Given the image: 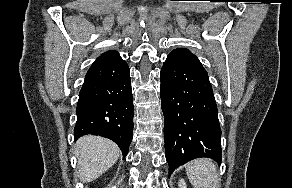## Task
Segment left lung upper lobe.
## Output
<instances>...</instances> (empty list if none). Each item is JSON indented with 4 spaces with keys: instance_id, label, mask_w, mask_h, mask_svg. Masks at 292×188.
<instances>
[{
    "instance_id": "left-lung-upper-lobe-1",
    "label": "left lung upper lobe",
    "mask_w": 292,
    "mask_h": 188,
    "mask_svg": "<svg viewBox=\"0 0 292 188\" xmlns=\"http://www.w3.org/2000/svg\"><path fill=\"white\" fill-rule=\"evenodd\" d=\"M169 55L180 58V59H182L190 64H193V65L205 70L203 68L202 64L200 63V61L198 60V58L195 55H193L190 51H188L187 49L178 48V49L173 50Z\"/></svg>"
}]
</instances>
